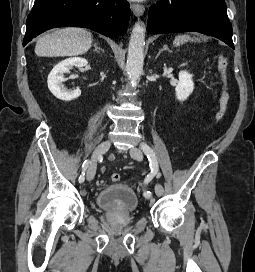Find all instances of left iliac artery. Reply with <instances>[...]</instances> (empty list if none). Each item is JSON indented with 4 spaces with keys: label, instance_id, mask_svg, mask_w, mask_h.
<instances>
[{
    "label": "left iliac artery",
    "instance_id": "obj_1",
    "mask_svg": "<svg viewBox=\"0 0 255 272\" xmlns=\"http://www.w3.org/2000/svg\"><path fill=\"white\" fill-rule=\"evenodd\" d=\"M141 149L144 152V154L147 156L148 160L150 161V167H151V172L147 175L145 178L143 185L147 186L149 182L152 181V179L155 178V175L158 173L159 167H158V162L155 156L154 151L151 149L149 145L146 143L141 144ZM144 196L146 198L151 197V192H145Z\"/></svg>",
    "mask_w": 255,
    "mask_h": 272
}]
</instances>
